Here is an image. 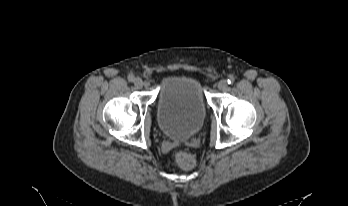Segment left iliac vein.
Segmentation results:
<instances>
[{"mask_svg":"<svg viewBox=\"0 0 348 206\" xmlns=\"http://www.w3.org/2000/svg\"><path fill=\"white\" fill-rule=\"evenodd\" d=\"M228 86V83H227V80L226 79H221L219 82H218V88L220 90H225Z\"/></svg>","mask_w":348,"mask_h":206,"instance_id":"left-iliac-vein-1","label":"left iliac vein"}]
</instances>
